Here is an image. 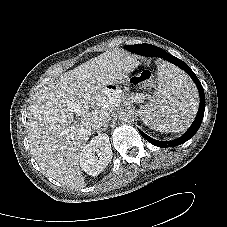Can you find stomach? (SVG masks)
I'll use <instances>...</instances> for the list:
<instances>
[{"label":"stomach","mask_w":227,"mask_h":227,"mask_svg":"<svg viewBox=\"0 0 227 227\" xmlns=\"http://www.w3.org/2000/svg\"><path fill=\"white\" fill-rule=\"evenodd\" d=\"M108 89L111 93H113L114 95H116L117 97H120L121 94H120V90L117 86L115 85H112V86H108Z\"/></svg>","instance_id":"obj_1"}]
</instances>
